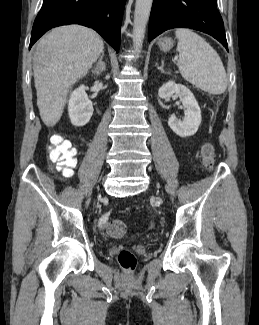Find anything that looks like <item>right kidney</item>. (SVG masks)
<instances>
[{
    "label": "right kidney",
    "mask_w": 259,
    "mask_h": 325,
    "mask_svg": "<svg viewBox=\"0 0 259 325\" xmlns=\"http://www.w3.org/2000/svg\"><path fill=\"white\" fill-rule=\"evenodd\" d=\"M93 104L85 92V86L81 85L70 95L68 102V114L71 123L76 127L86 125L93 115Z\"/></svg>",
    "instance_id": "obj_1"
}]
</instances>
